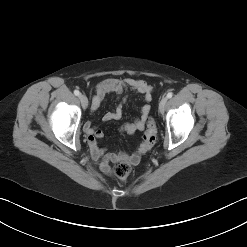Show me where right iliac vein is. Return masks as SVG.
I'll return each instance as SVG.
<instances>
[{"instance_id":"1","label":"right iliac vein","mask_w":247,"mask_h":247,"mask_svg":"<svg viewBox=\"0 0 247 247\" xmlns=\"http://www.w3.org/2000/svg\"><path fill=\"white\" fill-rule=\"evenodd\" d=\"M79 100H80L83 108H87V106H88V99H87V97L85 95H83V94H80L79 95Z\"/></svg>"}]
</instances>
